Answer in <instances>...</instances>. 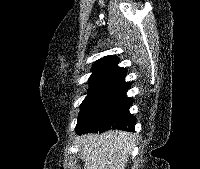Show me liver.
<instances>
[{
	"mask_svg": "<svg viewBox=\"0 0 200 169\" xmlns=\"http://www.w3.org/2000/svg\"><path fill=\"white\" fill-rule=\"evenodd\" d=\"M82 149L84 169H125L135 145L130 132L110 130L102 134H84L77 137Z\"/></svg>",
	"mask_w": 200,
	"mask_h": 169,
	"instance_id": "6515ba94",
	"label": "liver"
}]
</instances>
